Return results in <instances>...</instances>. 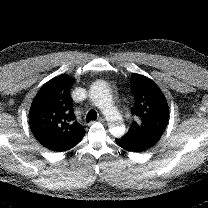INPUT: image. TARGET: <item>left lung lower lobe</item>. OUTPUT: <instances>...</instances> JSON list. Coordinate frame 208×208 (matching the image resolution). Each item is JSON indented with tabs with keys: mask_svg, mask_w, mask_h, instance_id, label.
<instances>
[{
	"mask_svg": "<svg viewBox=\"0 0 208 208\" xmlns=\"http://www.w3.org/2000/svg\"><path fill=\"white\" fill-rule=\"evenodd\" d=\"M116 143L122 147L124 150L129 152H142L147 150L144 146L135 144L131 141L125 140L123 138L116 139Z\"/></svg>",
	"mask_w": 208,
	"mask_h": 208,
	"instance_id": "left-lung-lower-lobe-1",
	"label": "left lung lower lobe"
}]
</instances>
